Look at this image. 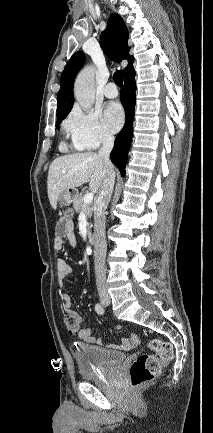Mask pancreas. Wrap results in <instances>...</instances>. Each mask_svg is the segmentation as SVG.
I'll return each mask as SVG.
<instances>
[{"instance_id": "cf45deb5", "label": "pancreas", "mask_w": 213, "mask_h": 433, "mask_svg": "<svg viewBox=\"0 0 213 433\" xmlns=\"http://www.w3.org/2000/svg\"><path fill=\"white\" fill-rule=\"evenodd\" d=\"M83 198H84V196H83L82 193L77 194L74 197V199H73L74 209H75V211L77 213H81L82 212V213L85 214V216L87 218H91V216H92V210H93L92 204L91 203L85 204L84 201H83ZM88 233H89V235L91 234L90 229H89Z\"/></svg>"}]
</instances>
